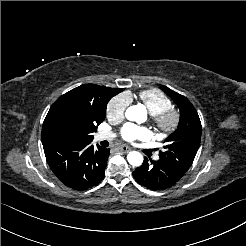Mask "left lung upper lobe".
<instances>
[{
    "label": "left lung upper lobe",
    "mask_w": 246,
    "mask_h": 246,
    "mask_svg": "<svg viewBox=\"0 0 246 246\" xmlns=\"http://www.w3.org/2000/svg\"><path fill=\"white\" fill-rule=\"evenodd\" d=\"M180 109L178 128L165 139V151H160L161 159L186 173L193 163L201 141V122L192 103L183 95L161 86Z\"/></svg>",
    "instance_id": "left-lung-upper-lobe-1"
}]
</instances>
